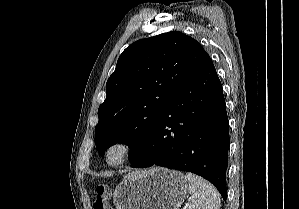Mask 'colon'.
I'll return each mask as SVG.
<instances>
[{
	"mask_svg": "<svg viewBox=\"0 0 299 209\" xmlns=\"http://www.w3.org/2000/svg\"><path fill=\"white\" fill-rule=\"evenodd\" d=\"M108 187L106 185H98L94 192V209H111L107 203Z\"/></svg>",
	"mask_w": 299,
	"mask_h": 209,
	"instance_id": "obj_1",
	"label": "colon"
}]
</instances>
